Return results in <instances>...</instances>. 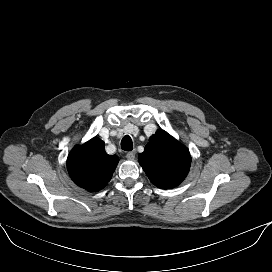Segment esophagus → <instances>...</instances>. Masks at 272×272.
I'll use <instances>...</instances> for the list:
<instances>
[{"label":"esophagus","instance_id":"obj_1","mask_svg":"<svg viewBox=\"0 0 272 272\" xmlns=\"http://www.w3.org/2000/svg\"><path fill=\"white\" fill-rule=\"evenodd\" d=\"M126 158L129 160H133L135 158V151H130L126 154Z\"/></svg>","mask_w":272,"mask_h":272}]
</instances>
